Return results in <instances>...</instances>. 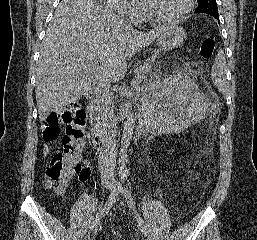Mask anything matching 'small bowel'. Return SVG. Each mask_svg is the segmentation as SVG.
I'll return each instance as SVG.
<instances>
[{
    "mask_svg": "<svg viewBox=\"0 0 257 240\" xmlns=\"http://www.w3.org/2000/svg\"><path fill=\"white\" fill-rule=\"evenodd\" d=\"M45 141H46V144H45L44 147H43V153H44L45 155H47V154L51 151V145H50V143H51L52 141H48V140H46V139H45ZM84 167L86 168V175L83 176V177H80V178H79L80 181H85V180L89 177V175H90V165H89V163H88V162H84Z\"/></svg>",
    "mask_w": 257,
    "mask_h": 240,
    "instance_id": "c3829d8e",
    "label": "small bowel"
}]
</instances>
